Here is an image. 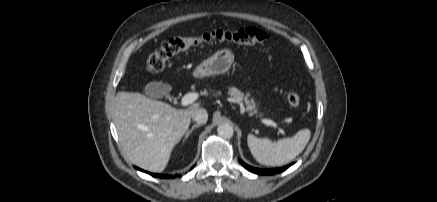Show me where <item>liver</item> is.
Segmentation results:
<instances>
[{"label": "liver", "instance_id": "6515ba94", "mask_svg": "<svg viewBox=\"0 0 437 202\" xmlns=\"http://www.w3.org/2000/svg\"><path fill=\"white\" fill-rule=\"evenodd\" d=\"M200 106L195 102L186 109H175L140 93L118 92L113 115L123 153L145 170L163 171Z\"/></svg>", "mask_w": 437, "mask_h": 202}]
</instances>
